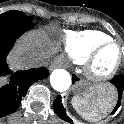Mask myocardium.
<instances>
[{
	"instance_id": "f54148a6",
	"label": "myocardium",
	"mask_w": 124,
	"mask_h": 124,
	"mask_svg": "<svg viewBox=\"0 0 124 124\" xmlns=\"http://www.w3.org/2000/svg\"><path fill=\"white\" fill-rule=\"evenodd\" d=\"M116 47L119 51V58L116 65L106 74H98L94 70V65L99 55L108 47ZM124 63V49L117 42L111 40L97 45L84 62V74L93 83L101 84L112 80Z\"/></svg>"
}]
</instances>
